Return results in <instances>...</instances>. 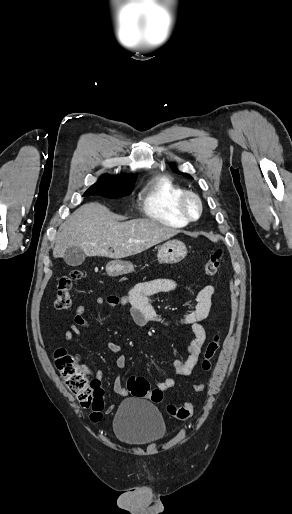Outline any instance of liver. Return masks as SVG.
<instances>
[{
	"instance_id": "liver-1",
	"label": "liver",
	"mask_w": 292,
	"mask_h": 514,
	"mask_svg": "<svg viewBox=\"0 0 292 514\" xmlns=\"http://www.w3.org/2000/svg\"><path fill=\"white\" fill-rule=\"evenodd\" d=\"M178 232L148 218L115 222L106 206L91 202L80 206L60 226L53 256L63 258L67 248L78 246L86 256L127 258L173 238Z\"/></svg>"
}]
</instances>
